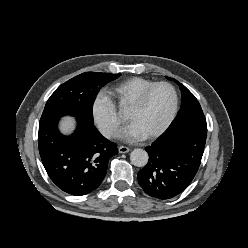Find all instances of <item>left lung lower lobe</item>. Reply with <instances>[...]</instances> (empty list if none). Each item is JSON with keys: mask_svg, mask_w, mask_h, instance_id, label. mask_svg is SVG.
Returning <instances> with one entry per match:
<instances>
[{"mask_svg": "<svg viewBox=\"0 0 248 248\" xmlns=\"http://www.w3.org/2000/svg\"><path fill=\"white\" fill-rule=\"evenodd\" d=\"M207 125L185 123L166 130L151 146L138 182L150 196L170 199L184 191L195 177L204 152Z\"/></svg>", "mask_w": 248, "mask_h": 248, "instance_id": "left-lung-lower-lobe-1", "label": "left lung lower lobe"}]
</instances>
